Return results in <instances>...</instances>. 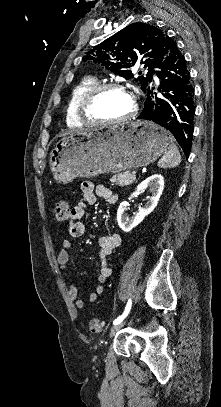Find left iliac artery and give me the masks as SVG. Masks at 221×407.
<instances>
[{"mask_svg":"<svg viewBox=\"0 0 221 407\" xmlns=\"http://www.w3.org/2000/svg\"><path fill=\"white\" fill-rule=\"evenodd\" d=\"M131 304H132V303H131V299H129L128 302H127V305H126V308H125L124 313H123L121 316H119L118 318H116V319L114 320V322H113L114 325H117V324H119L120 322H122L123 319L128 315V313H129V311H130V309H131Z\"/></svg>","mask_w":221,"mask_h":407,"instance_id":"obj_1","label":"left iliac artery"}]
</instances>
